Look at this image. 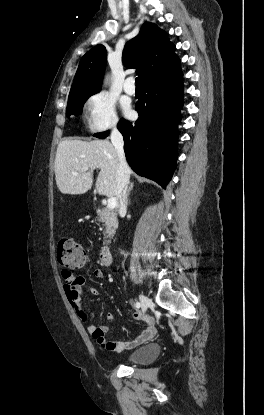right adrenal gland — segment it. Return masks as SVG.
<instances>
[{
	"instance_id": "obj_1",
	"label": "right adrenal gland",
	"mask_w": 264,
	"mask_h": 415,
	"mask_svg": "<svg viewBox=\"0 0 264 415\" xmlns=\"http://www.w3.org/2000/svg\"><path fill=\"white\" fill-rule=\"evenodd\" d=\"M133 183H130L129 184V187H128V190H127V197H128V200H129V195H130V192H131V190H132V188H133Z\"/></svg>"
}]
</instances>
